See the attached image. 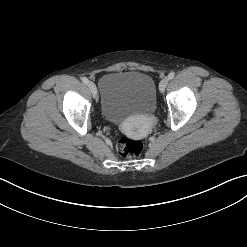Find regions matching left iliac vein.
I'll return each mask as SVG.
<instances>
[{
    "label": "left iliac vein",
    "mask_w": 247,
    "mask_h": 247,
    "mask_svg": "<svg viewBox=\"0 0 247 247\" xmlns=\"http://www.w3.org/2000/svg\"><path fill=\"white\" fill-rule=\"evenodd\" d=\"M169 82V78L168 77H164L161 81H160V84H159V90L161 92H163L167 86Z\"/></svg>",
    "instance_id": "1"
}]
</instances>
